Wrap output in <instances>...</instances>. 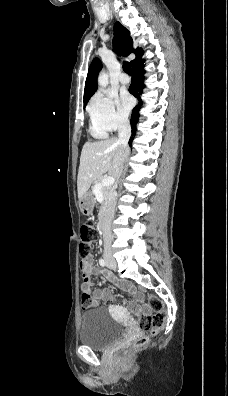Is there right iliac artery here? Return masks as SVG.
I'll use <instances>...</instances> for the list:
<instances>
[{
	"label": "right iliac artery",
	"instance_id": "right-iliac-artery-1",
	"mask_svg": "<svg viewBox=\"0 0 228 396\" xmlns=\"http://www.w3.org/2000/svg\"><path fill=\"white\" fill-rule=\"evenodd\" d=\"M99 264H100L102 267H105V266H106V262H105V260L102 259V258L99 259Z\"/></svg>",
	"mask_w": 228,
	"mask_h": 396
}]
</instances>
